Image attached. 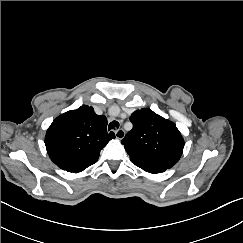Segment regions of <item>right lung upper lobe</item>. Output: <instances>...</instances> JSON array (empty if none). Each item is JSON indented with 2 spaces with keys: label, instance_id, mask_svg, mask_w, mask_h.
Wrapping results in <instances>:
<instances>
[{
  "label": "right lung upper lobe",
  "instance_id": "obj_1",
  "mask_svg": "<svg viewBox=\"0 0 243 243\" xmlns=\"http://www.w3.org/2000/svg\"><path fill=\"white\" fill-rule=\"evenodd\" d=\"M107 119L92 107L82 105L53 120L45 145L51 160L61 169L78 173L94 164L100 150L113 138L106 130Z\"/></svg>",
  "mask_w": 243,
  "mask_h": 243
}]
</instances>
